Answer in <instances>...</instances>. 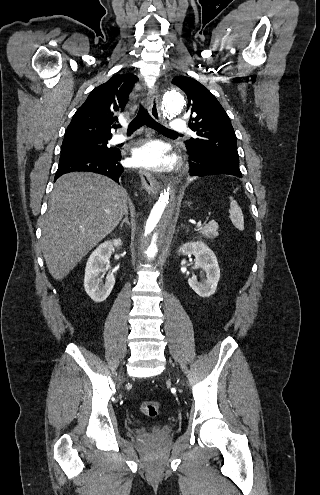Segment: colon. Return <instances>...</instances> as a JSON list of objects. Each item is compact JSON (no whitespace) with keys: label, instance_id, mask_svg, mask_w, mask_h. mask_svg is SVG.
I'll return each mask as SVG.
<instances>
[{"label":"colon","instance_id":"obj_1","mask_svg":"<svg viewBox=\"0 0 320 495\" xmlns=\"http://www.w3.org/2000/svg\"><path fill=\"white\" fill-rule=\"evenodd\" d=\"M141 412L148 417H156L160 410V403L158 401H145L140 404Z\"/></svg>","mask_w":320,"mask_h":495}]
</instances>
